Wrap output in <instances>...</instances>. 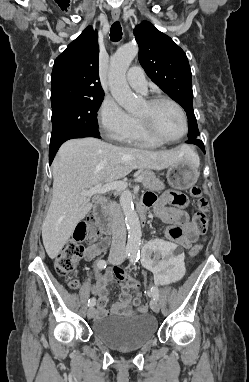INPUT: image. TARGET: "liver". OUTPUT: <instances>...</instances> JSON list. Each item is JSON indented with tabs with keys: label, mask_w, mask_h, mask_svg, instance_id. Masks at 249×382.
I'll return each instance as SVG.
<instances>
[{
	"label": "liver",
	"mask_w": 249,
	"mask_h": 382,
	"mask_svg": "<svg viewBox=\"0 0 249 382\" xmlns=\"http://www.w3.org/2000/svg\"><path fill=\"white\" fill-rule=\"evenodd\" d=\"M198 156L189 146L168 151L119 147L93 137L71 139L52 164L53 195L42 224V239L51 259L58 256L76 225L92 208L82 194L100 183L116 181L133 169L162 170L184 158Z\"/></svg>",
	"instance_id": "obj_1"
}]
</instances>
